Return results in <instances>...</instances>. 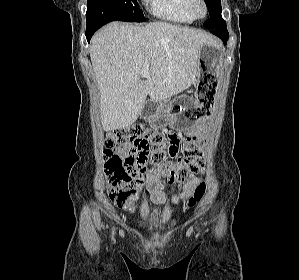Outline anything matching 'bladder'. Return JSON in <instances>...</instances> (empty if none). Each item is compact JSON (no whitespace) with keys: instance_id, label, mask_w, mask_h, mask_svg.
I'll return each mask as SVG.
<instances>
[{"instance_id":"31cf9c89","label":"bladder","mask_w":299,"mask_h":280,"mask_svg":"<svg viewBox=\"0 0 299 280\" xmlns=\"http://www.w3.org/2000/svg\"><path fill=\"white\" fill-rule=\"evenodd\" d=\"M176 225L174 216L163 213H154L138 225V229L145 233L164 235L169 233Z\"/></svg>"}]
</instances>
